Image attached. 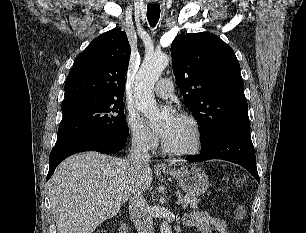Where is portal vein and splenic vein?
<instances>
[{
	"mask_svg": "<svg viewBox=\"0 0 306 233\" xmlns=\"http://www.w3.org/2000/svg\"><path fill=\"white\" fill-rule=\"evenodd\" d=\"M183 200L181 198L178 199L177 204H182Z\"/></svg>",
	"mask_w": 306,
	"mask_h": 233,
	"instance_id": "1",
	"label": "portal vein and splenic vein"
}]
</instances>
